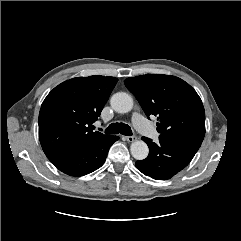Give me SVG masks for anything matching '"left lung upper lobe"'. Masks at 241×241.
<instances>
[{
  "instance_id": "obj_1",
  "label": "left lung upper lobe",
  "mask_w": 241,
  "mask_h": 241,
  "mask_svg": "<svg viewBox=\"0 0 241 241\" xmlns=\"http://www.w3.org/2000/svg\"><path fill=\"white\" fill-rule=\"evenodd\" d=\"M148 116L158 118L160 137L201 142L205 135V111L196 91L171 75L146 74L125 80Z\"/></svg>"
}]
</instances>
